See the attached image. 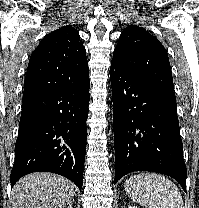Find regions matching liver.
I'll use <instances>...</instances> for the list:
<instances>
[{
  "label": "liver",
  "mask_w": 199,
  "mask_h": 208,
  "mask_svg": "<svg viewBox=\"0 0 199 208\" xmlns=\"http://www.w3.org/2000/svg\"><path fill=\"white\" fill-rule=\"evenodd\" d=\"M75 185L52 173H31L12 190V208H64L74 200Z\"/></svg>",
  "instance_id": "1"
}]
</instances>
